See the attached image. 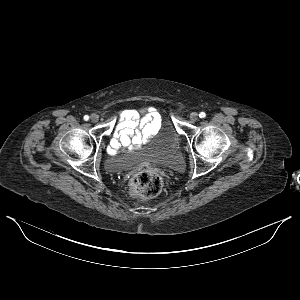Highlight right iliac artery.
<instances>
[{"label":"right iliac artery","mask_w":300,"mask_h":300,"mask_svg":"<svg viewBox=\"0 0 300 300\" xmlns=\"http://www.w3.org/2000/svg\"><path fill=\"white\" fill-rule=\"evenodd\" d=\"M84 120H85V121H88V120H89V116H88V115H85V116H84Z\"/></svg>","instance_id":"right-iliac-artery-1"}]
</instances>
